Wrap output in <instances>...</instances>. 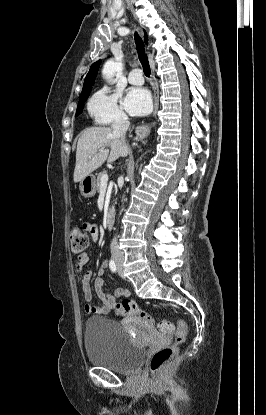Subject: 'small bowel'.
Segmentation results:
<instances>
[{"label":"small bowel","instance_id":"small-bowel-1","mask_svg":"<svg viewBox=\"0 0 266 415\" xmlns=\"http://www.w3.org/2000/svg\"><path fill=\"white\" fill-rule=\"evenodd\" d=\"M84 228L91 234L94 240L98 237V226L94 222H87L84 224ZM89 262V257L87 254H80L76 261L75 267L81 274V283H82V293L86 301L85 312L87 314H97V315H107L116 305V300L122 297H128L130 292L127 289L117 288L113 294H109L104 290V279L106 269L108 268V262L103 261L101 267L97 272V277L94 280V290L98 299L100 300V305L91 304L92 299V271L86 270L85 266Z\"/></svg>","mask_w":266,"mask_h":415}]
</instances>
